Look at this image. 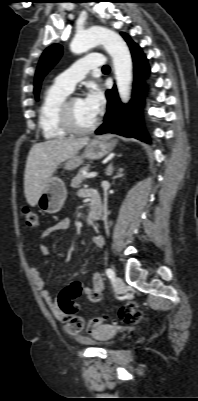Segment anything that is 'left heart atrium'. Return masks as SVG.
Instances as JSON below:
<instances>
[{
    "label": "left heart atrium",
    "instance_id": "left-heart-atrium-1",
    "mask_svg": "<svg viewBox=\"0 0 198 401\" xmlns=\"http://www.w3.org/2000/svg\"><path fill=\"white\" fill-rule=\"evenodd\" d=\"M83 102L87 109L94 116H97L101 112L105 103L104 94L97 85H91L88 87Z\"/></svg>",
    "mask_w": 198,
    "mask_h": 401
}]
</instances>
